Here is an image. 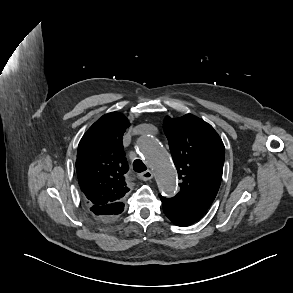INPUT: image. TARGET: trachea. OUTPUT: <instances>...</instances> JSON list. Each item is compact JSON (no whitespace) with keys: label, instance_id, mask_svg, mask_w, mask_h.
<instances>
[{"label":"trachea","instance_id":"3493384b","mask_svg":"<svg viewBox=\"0 0 293 293\" xmlns=\"http://www.w3.org/2000/svg\"><path fill=\"white\" fill-rule=\"evenodd\" d=\"M133 169L136 171V172H143L145 170H147V167L146 165L140 160V159H136L134 162H133Z\"/></svg>","mask_w":293,"mask_h":293}]
</instances>
